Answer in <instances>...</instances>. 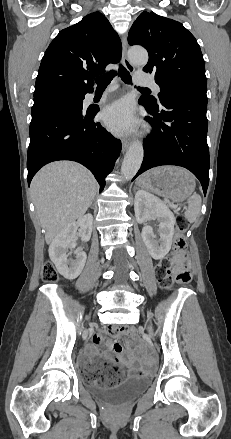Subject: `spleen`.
<instances>
[{"label":"spleen","instance_id":"3e777b00","mask_svg":"<svg viewBox=\"0 0 231 439\" xmlns=\"http://www.w3.org/2000/svg\"><path fill=\"white\" fill-rule=\"evenodd\" d=\"M188 207L186 208L185 211V218L189 221V222H194L199 213H200V208H201V197L199 194L194 193L188 200Z\"/></svg>","mask_w":231,"mask_h":439}]
</instances>
